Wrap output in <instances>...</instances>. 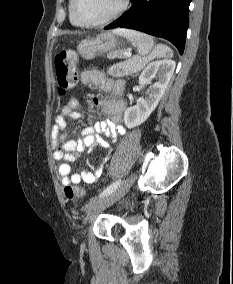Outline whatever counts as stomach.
Returning <instances> with one entry per match:
<instances>
[{
    "mask_svg": "<svg viewBox=\"0 0 233 284\" xmlns=\"http://www.w3.org/2000/svg\"><path fill=\"white\" fill-rule=\"evenodd\" d=\"M123 50L119 43L118 36L111 32H103L96 37L82 40L77 51L84 59H93L98 54H103L115 50Z\"/></svg>",
    "mask_w": 233,
    "mask_h": 284,
    "instance_id": "stomach-1",
    "label": "stomach"
}]
</instances>
